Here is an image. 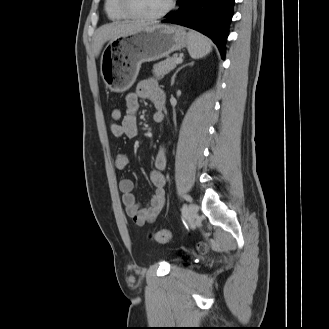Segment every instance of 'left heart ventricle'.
Masks as SVG:
<instances>
[{"instance_id": "1", "label": "left heart ventricle", "mask_w": 329, "mask_h": 329, "mask_svg": "<svg viewBox=\"0 0 329 329\" xmlns=\"http://www.w3.org/2000/svg\"><path fill=\"white\" fill-rule=\"evenodd\" d=\"M131 8L145 16L155 15L161 12L169 0H129Z\"/></svg>"}]
</instances>
